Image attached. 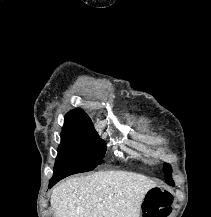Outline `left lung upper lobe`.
Segmentation results:
<instances>
[{
    "label": "left lung upper lobe",
    "mask_w": 211,
    "mask_h": 217,
    "mask_svg": "<svg viewBox=\"0 0 211 217\" xmlns=\"http://www.w3.org/2000/svg\"><path fill=\"white\" fill-rule=\"evenodd\" d=\"M163 171L165 173V182L171 186H174V182L172 180L171 175V167L168 164H164Z\"/></svg>",
    "instance_id": "obj_1"
}]
</instances>
